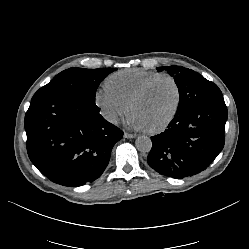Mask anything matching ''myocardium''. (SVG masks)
<instances>
[{"mask_svg":"<svg viewBox=\"0 0 249 249\" xmlns=\"http://www.w3.org/2000/svg\"><path fill=\"white\" fill-rule=\"evenodd\" d=\"M164 79L171 81L173 83V85L175 86L176 93H177L176 106H175L172 114L163 123H161L159 126H157L155 128L146 130V132L149 134H158V133L165 131L175 121L176 117L178 116L180 108H181V104H182V89L180 87L179 82L177 81V79L174 76H172L170 74L158 75V76L150 79L149 81H147L145 84H143L139 88V90L128 101V108H130L131 105L135 101H137L138 99L143 97L154 84H156L158 81L164 80Z\"/></svg>","mask_w":249,"mask_h":249,"instance_id":"f54148a6","label":"myocardium"}]
</instances>
